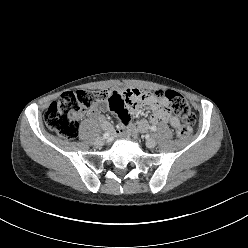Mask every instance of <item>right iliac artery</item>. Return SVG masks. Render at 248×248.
I'll use <instances>...</instances> for the list:
<instances>
[{
  "label": "right iliac artery",
  "instance_id": "obj_1",
  "mask_svg": "<svg viewBox=\"0 0 248 248\" xmlns=\"http://www.w3.org/2000/svg\"><path fill=\"white\" fill-rule=\"evenodd\" d=\"M109 137V134L108 133H104L103 134V138H108Z\"/></svg>",
  "mask_w": 248,
  "mask_h": 248
}]
</instances>
